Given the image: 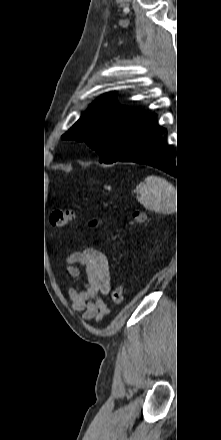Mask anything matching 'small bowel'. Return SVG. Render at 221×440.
Segmentation results:
<instances>
[{"label": "small bowel", "instance_id": "c3829d8e", "mask_svg": "<svg viewBox=\"0 0 221 440\" xmlns=\"http://www.w3.org/2000/svg\"><path fill=\"white\" fill-rule=\"evenodd\" d=\"M66 262V271L76 280V286L67 292L72 301V309L82 312L85 320H102L110 311L103 298L111 288L107 256L97 249L88 248L70 254ZM74 263H81L83 270L73 266Z\"/></svg>", "mask_w": 221, "mask_h": 440}]
</instances>
